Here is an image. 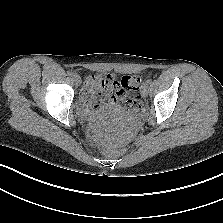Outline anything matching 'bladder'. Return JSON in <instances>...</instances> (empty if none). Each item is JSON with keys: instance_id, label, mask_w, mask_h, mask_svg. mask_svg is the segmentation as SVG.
<instances>
[{"instance_id": "bladder-1", "label": "bladder", "mask_w": 223, "mask_h": 223, "mask_svg": "<svg viewBox=\"0 0 223 223\" xmlns=\"http://www.w3.org/2000/svg\"><path fill=\"white\" fill-rule=\"evenodd\" d=\"M103 109L106 113H117L115 106H105Z\"/></svg>"}]
</instances>
